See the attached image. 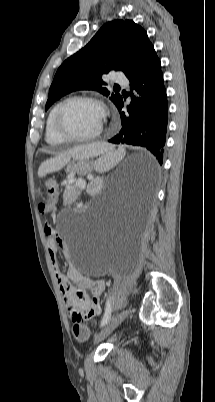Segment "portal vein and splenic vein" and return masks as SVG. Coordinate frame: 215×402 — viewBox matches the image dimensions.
Masks as SVG:
<instances>
[{"instance_id": "1", "label": "portal vein and splenic vein", "mask_w": 215, "mask_h": 402, "mask_svg": "<svg viewBox=\"0 0 215 402\" xmlns=\"http://www.w3.org/2000/svg\"><path fill=\"white\" fill-rule=\"evenodd\" d=\"M77 185H78L80 188H85L86 183H85V181H81V182H79Z\"/></svg>"}]
</instances>
